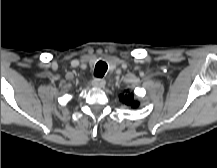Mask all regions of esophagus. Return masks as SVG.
<instances>
[{
	"instance_id": "obj_1",
	"label": "esophagus",
	"mask_w": 217,
	"mask_h": 168,
	"mask_svg": "<svg viewBox=\"0 0 217 168\" xmlns=\"http://www.w3.org/2000/svg\"><path fill=\"white\" fill-rule=\"evenodd\" d=\"M106 82L104 79L95 78L92 80V86L96 88H103L105 86Z\"/></svg>"
}]
</instances>
